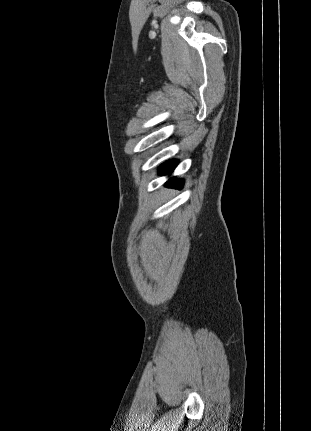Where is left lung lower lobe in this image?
<instances>
[{"label":"left lung lower lobe","mask_w":311,"mask_h":431,"mask_svg":"<svg viewBox=\"0 0 311 431\" xmlns=\"http://www.w3.org/2000/svg\"><path fill=\"white\" fill-rule=\"evenodd\" d=\"M177 163H178L177 160H169L168 162L162 164L159 167V173L160 174H167V173L171 172L174 169V167L177 165ZM182 185H183V180H181V179H178V180L171 179L166 184V186H168V187H173V188H178V189H181Z\"/></svg>","instance_id":"obj_1"}]
</instances>
